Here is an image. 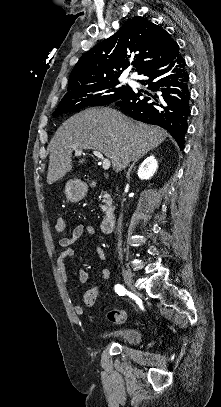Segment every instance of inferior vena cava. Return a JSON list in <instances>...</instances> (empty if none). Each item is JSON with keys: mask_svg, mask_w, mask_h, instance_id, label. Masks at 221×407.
Instances as JSON below:
<instances>
[{"mask_svg": "<svg viewBox=\"0 0 221 407\" xmlns=\"http://www.w3.org/2000/svg\"><path fill=\"white\" fill-rule=\"evenodd\" d=\"M121 229H122V214H120L118 218V226H117V234H118V243H117V249H118V254H119V259L122 260V235H121Z\"/></svg>", "mask_w": 221, "mask_h": 407, "instance_id": "obj_1", "label": "inferior vena cava"}]
</instances>
